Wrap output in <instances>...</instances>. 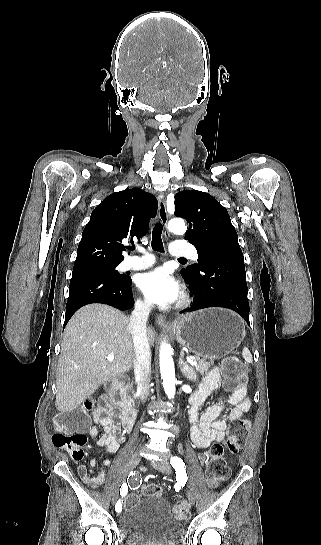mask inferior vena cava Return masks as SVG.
<instances>
[{"mask_svg":"<svg viewBox=\"0 0 321 545\" xmlns=\"http://www.w3.org/2000/svg\"><path fill=\"white\" fill-rule=\"evenodd\" d=\"M153 305L150 301H136L130 317V331L134 347V373L137 391L145 403L150 395L151 351L146 335V323Z\"/></svg>","mask_w":321,"mask_h":545,"instance_id":"obj_1","label":"inferior vena cava"}]
</instances>
